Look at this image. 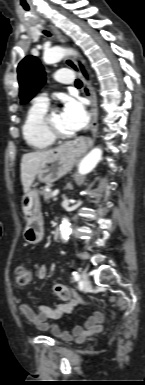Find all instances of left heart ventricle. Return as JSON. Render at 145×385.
Masks as SVG:
<instances>
[{"mask_svg": "<svg viewBox=\"0 0 145 385\" xmlns=\"http://www.w3.org/2000/svg\"><path fill=\"white\" fill-rule=\"evenodd\" d=\"M51 123L58 132L72 134V131L66 126L61 112L57 111L52 115Z\"/></svg>", "mask_w": 145, "mask_h": 385, "instance_id": "obj_1", "label": "left heart ventricle"}]
</instances>
